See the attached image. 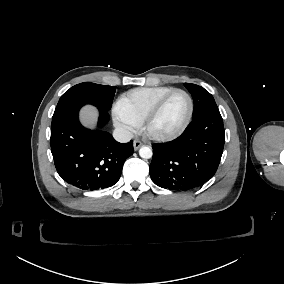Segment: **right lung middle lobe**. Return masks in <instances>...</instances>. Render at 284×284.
I'll list each match as a JSON object with an SVG mask.
<instances>
[{"instance_id":"right-lung-middle-lobe-1","label":"right lung middle lobe","mask_w":284,"mask_h":284,"mask_svg":"<svg viewBox=\"0 0 284 284\" xmlns=\"http://www.w3.org/2000/svg\"><path fill=\"white\" fill-rule=\"evenodd\" d=\"M115 94V86L99 85L90 82L77 84L66 91L60 98L54 114L67 107L92 104L99 110L109 111Z\"/></svg>"}]
</instances>
